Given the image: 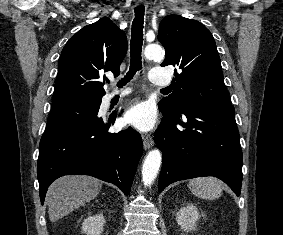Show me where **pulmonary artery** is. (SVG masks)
<instances>
[{"label":"pulmonary artery","instance_id":"pulmonary-artery-1","mask_svg":"<svg viewBox=\"0 0 283 235\" xmlns=\"http://www.w3.org/2000/svg\"><path fill=\"white\" fill-rule=\"evenodd\" d=\"M150 81L160 87L168 86L171 82L170 78L167 76L164 70H159L155 68L151 69ZM130 93V89H124L119 92L108 93L104 97V102L107 103L116 97L123 98L125 96H128Z\"/></svg>","mask_w":283,"mask_h":235}]
</instances>
